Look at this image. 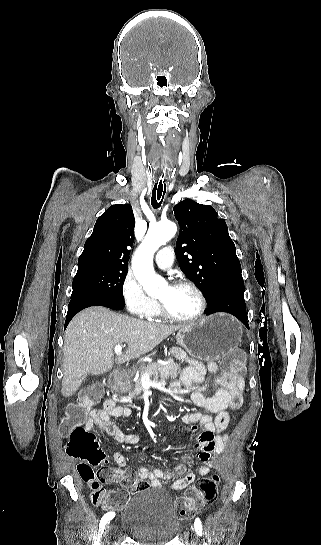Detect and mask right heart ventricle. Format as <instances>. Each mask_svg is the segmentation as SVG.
<instances>
[{
  "instance_id": "1",
  "label": "right heart ventricle",
  "mask_w": 321,
  "mask_h": 545,
  "mask_svg": "<svg viewBox=\"0 0 321 545\" xmlns=\"http://www.w3.org/2000/svg\"><path fill=\"white\" fill-rule=\"evenodd\" d=\"M164 317L163 315L161 314L159 308L157 309V311L155 312L154 316L151 318L153 320H162Z\"/></svg>"
}]
</instances>
